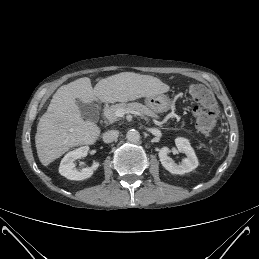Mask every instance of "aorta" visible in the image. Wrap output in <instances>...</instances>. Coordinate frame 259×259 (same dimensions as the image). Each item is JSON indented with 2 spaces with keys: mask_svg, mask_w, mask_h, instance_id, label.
Listing matches in <instances>:
<instances>
[{
  "mask_svg": "<svg viewBox=\"0 0 259 259\" xmlns=\"http://www.w3.org/2000/svg\"><path fill=\"white\" fill-rule=\"evenodd\" d=\"M126 138L131 143H137L140 140V133L135 129H131L127 132Z\"/></svg>",
  "mask_w": 259,
  "mask_h": 259,
  "instance_id": "1",
  "label": "aorta"
}]
</instances>
